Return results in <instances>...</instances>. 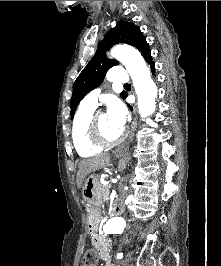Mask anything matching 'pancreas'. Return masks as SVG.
I'll use <instances>...</instances> for the list:
<instances>
[{
	"mask_svg": "<svg viewBox=\"0 0 221 266\" xmlns=\"http://www.w3.org/2000/svg\"><path fill=\"white\" fill-rule=\"evenodd\" d=\"M109 189L110 185L101 184V191L104 199L109 196Z\"/></svg>",
	"mask_w": 221,
	"mask_h": 266,
	"instance_id": "cf45deb5",
	"label": "pancreas"
}]
</instances>
